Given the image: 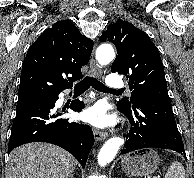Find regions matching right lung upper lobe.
I'll return each instance as SVG.
<instances>
[{
	"instance_id": "right-lung-upper-lobe-1",
	"label": "right lung upper lobe",
	"mask_w": 194,
	"mask_h": 178,
	"mask_svg": "<svg viewBox=\"0 0 194 178\" xmlns=\"http://www.w3.org/2000/svg\"><path fill=\"white\" fill-rule=\"evenodd\" d=\"M92 49L93 41L69 20L46 29L23 61L18 102L54 97L72 88V82L83 77L81 67L88 63Z\"/></svg>"
}]
</instances>
